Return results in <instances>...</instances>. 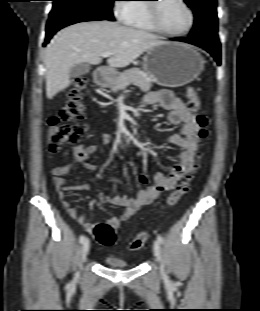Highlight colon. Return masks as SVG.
<instances>
[{
  "instance_id": "1",
  "label": "colon",
  "mask_w": 260,
  "mask_h": 311,
  "mask_svg": "<svg viewBox=\"0 0 260 311\" xmlns=\"http://www.w3.org/2000/svg\"><path fill=\"white\" fill-rule=\"evenodd\" d=\"M87 85L84 77L75 80L74 85L69 90L67 102L56 116L48 120L47 128V151L49 153H58L62 147L67 144L79 142L86 130L87 125L81 123L85 107L82 102L83 91ZM187 108L196 116L198 125V140L201 147L205 145L208 138V118L205 114L199 112V97L194 88L189 87L186 91ZM203 158V153L198 152V163L192 173L181 181L175 189L168 195L166 205L174 206L189 190L190 182L199 167V162ZM96 240L104 246H112L116 242L115 227L109 222L98 223L93 230ZM149 239L147 231H141L129 244L131 251L142 249Z\"/></svg>"
}]
</instances>
